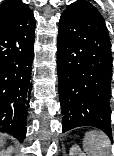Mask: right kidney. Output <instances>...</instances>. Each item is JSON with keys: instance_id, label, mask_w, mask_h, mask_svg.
<instances>
[{"instance_id": "1", "label": "right kidney", "mask_w": 114, "mask_h": 156, "mask_svg": "<svg viewBox=\"0 0 114 156\" xmlns=\"http://www.w3.org/2000/svg\"><path fill=\"white\" fill-rule=\"evenodd\" d=\"M13 150L14 148L12 146L8 147L6 150L0 151V156H11Z\"/></svg>"}]
</instances>
